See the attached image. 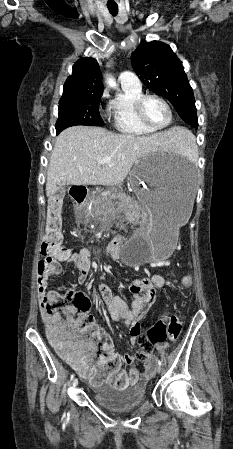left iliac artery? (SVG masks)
<instances>
[{"label":"left iliac artery","mask_w":233,"mask_h":449,"mask_svg":"<svg viewBox=\"0 0 233 449\" xmlns=\"http://www.w3.org/2000/svg\"><path fill=\"white\" fill-rule=\"evenodd\" d=\"M157 362H158V364L161 366L162 365V363H161V360L160 359H157Z\"/></svg>","instance_id":"left-iliac-artery-1"}]
</instances>
